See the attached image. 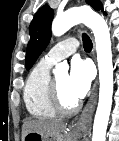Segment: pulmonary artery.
<instances>
[{
	"label": "pulmonary artery",
	"instance_id": "e3ab8cb5",
	"mask_svg": "<svg viewBox=\"0 0 119 141\" xmlns=\"http://www.w3.org/2000/svg\"><path fill=\"white\" fill-rule=\"evenodd\" d=\"M79 46V41L76 38H67L60 41L49 52L44 56L43 60L50 63L56 64L64 58L69 57L73 54Z\"/></svg>",
	"mask_w": 119,
	"mask_h": 141
}]
</instances>
